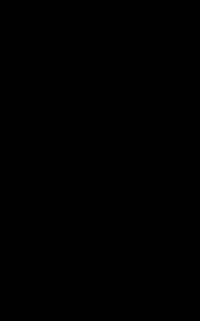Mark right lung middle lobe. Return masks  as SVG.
I'll use <instances>...</instances> for the list:
<instances>
[{"label": "right lung middle lobe", "instance_id": "1", "mask_svg": "<svg viewBox=\"0 0 200 321\" xmlns=\"http://www.w3.org/2000/svg\"><path fill=\"white\" fill-rule=\"evenodd\" d=\"M72 160L54 147L34 145L25 149L18 162L21 174L56 183L68 180L67 170Z\"/></svg>", "mask_w": 200, "mask_h": 321}]
</instances>
